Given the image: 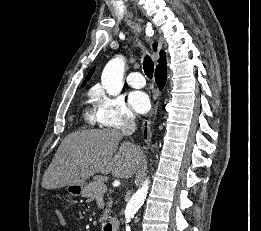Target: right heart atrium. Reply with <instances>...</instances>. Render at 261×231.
Masks as SVG:
<instances>
[{
	"instance_id": "d8ad5b80",
	"label": "right heart atrium",
	"mask_w": 261,
	"mask_h": 231,
	"mask_svg": "<svg viewBox=\"0 0 261 231\" xmlns=\"http://www.w3.org/2000/svg\"><path fill=\"white\" fill-rule=\"evenodd\" d=\"M90 95L95 100V113L100 125L124 130L134 124L135 115L121 96L109 95L101 87H94Z\"/></svg>"
}]
</instances>
